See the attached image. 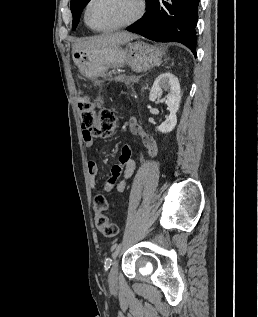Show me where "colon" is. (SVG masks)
Masks as SVG:
<instances>
[{
	"label": "colon",
	"instance_id": "obj_1",
	"mask_svg": "<svg viewBox=\"0 0 258 317\" xmlns=\"http://www.w3.org/2000/svg\"><path fill=\"white\" fill-rule=\"evenodd\" d=\"M79 107L83 117V129L89 136L108 137L115 132L117 126L115 115L110 110L103 108L99 102L82 96ZM107 209L106 198L103 195H97L94 199L95 225L105 237L111 238L118 234L119 228L109 220L106 215Z\"/></svg>",
	"mask_w": 258,
	"mask_h": 317
}]
</instances>
